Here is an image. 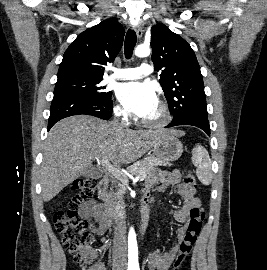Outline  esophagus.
<instances>
[{"mask_svg": "<svg viewBox=\"0 0 267 270\" xmlns=\"http://www.w3.org/2000/svg\"><path fill=\"white\" fill-rule=\"evenodd\" d=\"M135 32H136L137 37L140 39L143 35V29L140 24L135 27Z\"/></svg>", "mask_w": 267, "mask_h": 270, "instance_id": "obj_1", "label": "esophagus"}]
</instances>
